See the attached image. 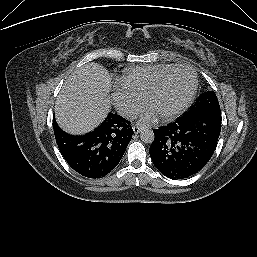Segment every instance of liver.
<instances>
[{
	"instance_id": "1",
	"label": "liver",
	"mask_w": 257,
	"mask_h": 257,
	"mask_svg": "<svg viewBox=\"0 0 257 257\" xmlns=\"http://www.w3.org/2000/svg\"><path fill=\"white\" fill-rule=\"evenodd\" d=\"M111 77L100 64L90 62L66 79L55 103L59 126L74 135L95 129L111 109Z\"/></svg>"
}]
</instances>
